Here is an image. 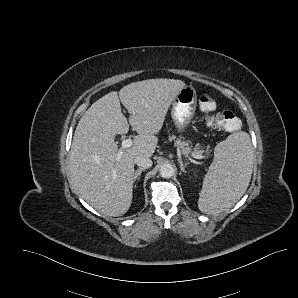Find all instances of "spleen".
I'll return each mask as SVG.
<instances>
[{
  "label": "spleen",
  "instance_id": "1",
  "mask_svg": "<svg viewBox=\"0 0 298 298\" xmlns=\"http://www.w3.org/2000/svg\"><path fill=\"white\" fill-rule=\"evenodd\" d=\"M253 160V146L247 132H234L220 141L203 180L199 210L216 215L231 208L249 186Z\"/></svg>",
  "mask_w": 298,
  "mask_h": 298
}]
</instances>
